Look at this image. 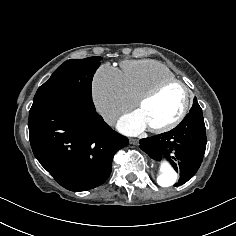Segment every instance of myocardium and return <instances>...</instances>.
Wrapping results in <instances>:
<instances>
[{"instance_id":"myocardium-1","label":"myocardium","mask_w":236,"mask_h":236,"mask_svg":"<svg viewBox=\"0 0 236 236\" xmlns=\"http://www.w3.org/2000/svg\"><path fill=\"white\" fill-rule=\"evenodd\" d=\"M171 85H179L184 91L185 100H184L182 111L180 112V114L175 120H173L167 125L160 126V127H148L149 131L152 133L166 134L173 131L185 121L186 117L189 114V111L191 108V91L189 87L183 81L176 78L162 80L158 82L156 85H154L152 88H150L148 91H146L140 98L137 99L138 108L139 109L142 108L147 102L152 100L161 91H163L165 88Z\"/></svg>"}]
</instances>
